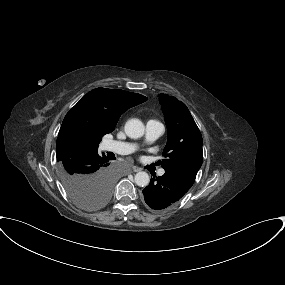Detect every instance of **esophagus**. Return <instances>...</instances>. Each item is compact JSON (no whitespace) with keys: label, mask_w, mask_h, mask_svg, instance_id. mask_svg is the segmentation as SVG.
I'll return each mask as SVG.
<instances>
[{"label":"esophagus","mask_w":285,"mask_h":285,"mask_svg":"<svg viewBox=\"0 0 285 285\" xmlns=\"http://www.w3.org/2000/svg\"><path fill=\"white\" fill-rule=\"evenodd\" d=\"M132 170H133L134 172H139V171H141V168H139V167H137V166H133V167H132Z\"/></svg>","instance_id":"34e87169"}]
</instances>
